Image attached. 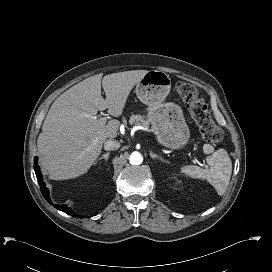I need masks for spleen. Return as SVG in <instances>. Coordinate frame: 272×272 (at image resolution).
I'll return each instance as SVG.
<instances>
[{
    "instance_id": "1",
    "label": "spleen",
    "mask_w": 272,
    "mask_h": 272,
    "mask_svg": "<svg viewBox=\"0 0 272 272\" xmlns=\"http://www.w3.org/2000/svg\"><path fill=\"white\" fill-rule=\"evenodd\" d=\"M211 165L209 170L198 166L187 165L181 168V172L191 178L206 179L222 195L230 181L232 162L224 149H219L207 158Z\"/></svg>"
}]
</instances>
